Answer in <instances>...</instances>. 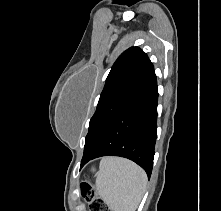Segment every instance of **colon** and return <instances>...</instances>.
Segmentation results:
<instances>
[{
  "instance_id": "5ec220e1",
  "label": "colon",
  "mask_w": 221,
  "mask_h": 211,
  "mask_svg": "<svg viewBox=\"0 0 221 211\" xmlns=\"http://www.w3.org/2000/svg\"><path fill=\"white\" fill-rule=\"evenodd\" d=\"M81 193L88 202L90 211H110L108 204L98 195L92 185L82 183Z\"/></svg>"
}]
</instances>
